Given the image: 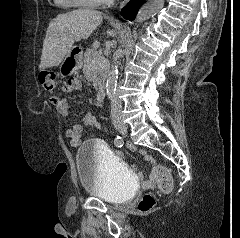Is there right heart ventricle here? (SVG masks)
<instances>
[{"label": "right heart ventricle", "mask_w": 240, "mask_h": 238, "mask_svg": "<svg viewBox=\"0 0 240 238\" xmlns=\"http://www.w3.org/2000/svg\"><path fill=\"white\" fill-rule=\"evenodd\" d=\"M54 3L62 8H78L81 5L73 2L72 0H54Z\"/></svg>", "instance_id": "right-heart-ventricle-1"}]
</instances>
